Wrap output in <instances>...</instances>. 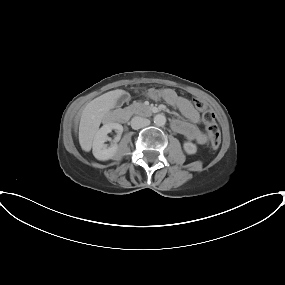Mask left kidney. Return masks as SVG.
Wrapping results in <instances>:
<instances>
[{"label":"left kidney","mask_w":285,"mask_h":285,"mask_svg":"<svg viewBox=\"0 0 285 285\" xmlns=\"http://www.w3.org/2000/svg\"><path fill=\"white\" fill-rule=\"evenodd\" d=\"M183 148L187 154H195L197 152V146L192 142H184Z\"/></svg>","instance_id":"obj_1"}]
</instances>
